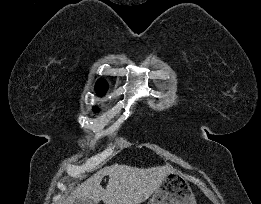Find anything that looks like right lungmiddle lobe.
Returning a JSON list of instances; mask_svg holds the SVG:
<instances>
[{
	"instance_id": "dd1d6c3e",
	"label": "right lung middle lobe",
	"mask_w": 261,
	"mask_h": 204,
	"mask_svg": "<svg viewBox=\"0 0 261 204\" xmlns=\"http://www.w3.org/2000/svg\"><path fill=\"white\" fill-rule=\"evenodd\" d=\"M94 110H95V111H97L98 109H97V108H95Z\"/></svg>"
}]
</instances>
